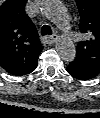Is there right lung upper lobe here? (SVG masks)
<instances>
[{
    "label": "right lung upper lobe",
    "instance_id": "right-lung-upper-lobe-1",
    "mask_svg": "<svg viewBox=\"0 0 100 118\" xmlns=\"http://www.w3.org/2000/svg\"><path fill=\"white\" fill-rule=\"evenodd\" d=\"M27 0H6L0 6V65L22 76L37 66L43 47L34 24L25 14Z\"/></svg>",
    "mask_w": 100,
    "mask_h": 118
}]
</instances>
